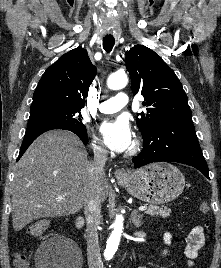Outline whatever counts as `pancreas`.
Wrapping results in <instances>:
<instances>
[{"label": "pancreas", "instance_id": "1", "mask_svg": "<svg viewBox=\"0 0 221 268\" xmlns=\"http://www.w3.org/2000/svg\"><path fill=\"white\" fill-rule=\"evenodd\" d=\"M145 213L152 216H161L163 218H167L170 216L171 209L168 207L149 205L148 210Z\"/></svg>", "mask_w": 221, "mask_h": 268}]
</instances>
